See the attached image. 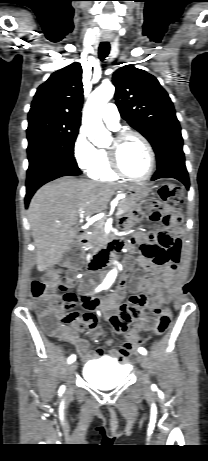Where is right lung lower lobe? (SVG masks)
Here are the masks:
<instances>
[{"instance_id": "98d812e1", "label": "right lung lower lobe", "mask_w": 208, "mask_h": 461, "mask_svg": "<svg viewBox=\"0 0 208 461\" xmlns=\"http://www.w3.org/2000/svg\"><path fill=\"white\" fill-rule=\"evenodd\" d=\"M81 171L77 166L60 159L44 160L28 168L26 180L25 207L27 208L35 191L45 183L62 176H77Z\"/></svg>"}]
</instances>
